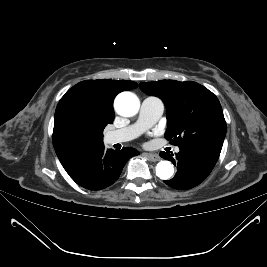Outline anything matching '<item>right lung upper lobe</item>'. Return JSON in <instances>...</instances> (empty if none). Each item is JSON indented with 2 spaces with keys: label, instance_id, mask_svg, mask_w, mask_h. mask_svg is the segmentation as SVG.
Here are the masks:
<instances>
[{
  "label": "right lung upper lobe",
  "instance_id": "obj_1",
  "mask_svg": "<svg viewBox=\"0 0 267 267\" xmlns=\"http://www.w3.org/2000/svg\"><path fill=\"white\" fill-rule=\"evenodd\" d=\"M137 86L134 81L106 79L82 81L69 89L55 111L53 145L60 162L87 147L103 143L94 132L75 133L72 122L76 118L85 119L94 125L112 123L116 95Z\"/></svg>",
  "mask_w": 267,
  "mask_h": 267
}]
</instances>
